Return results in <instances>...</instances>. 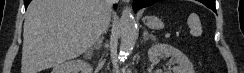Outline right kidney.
I'll use <instances>...</instances> for the list:
<instances>
[{"mask_svg": "<svg viewBox=\"0 0 244 73\" xmlns=\"http://www.w3.org/2000/svg\"><path fill=\"white\" fill-rule=\"evenodd\" d=\"M93 68L87 62L76 59L61 63L53 68L52 73H92Z\"/></svg>", "mask_w": 244, "mask_h": 73, "instance_id": "right-kidney-1", "label": "right kidney"}]
</instances>
